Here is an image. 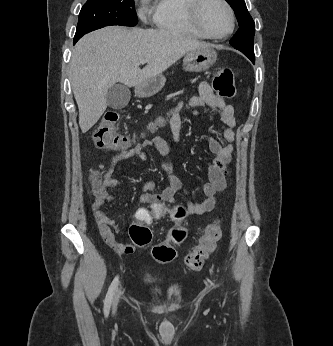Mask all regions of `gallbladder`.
Listing matches in <instances>:
<instances>
[{"instance_id": "bac80fb5", "label": "gallbladder", "mask_w": 333, "mask_h": 346, "mask_svg": "<svg viewBox=\"0 0 333 346\" xmlns=\"http://www.w3.org/2000/svg\"><path fill=\"white\" fill-rule=\"evenodd\" d=\"M130 95V90L126 85L122 83L114 84L106 93L107 105L112 109H122L128 104Z\"/></svg>"}]
</instances>
